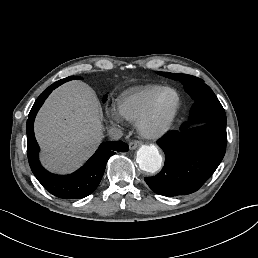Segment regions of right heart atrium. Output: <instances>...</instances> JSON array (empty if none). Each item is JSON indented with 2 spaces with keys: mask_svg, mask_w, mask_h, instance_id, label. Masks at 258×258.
Wrapping results in <instances>:
<instances>
[{
  "mask_svg": "<svg viewBox=\"0 0 258 258\" xmlns=\"http://www.w3.org/2000/svg\"><path fill=\"white\" fill-rule=\"evenodd\" d=\"M106 118L108 122L119 125L122 124L124 121V117L115 107H111L106 111Z\"/></svg>",
  "mask_w": 258,
  "mask_h": 258,
  "instance_id": "1",
  "label": "right heart atrium"
}]
</instances>
